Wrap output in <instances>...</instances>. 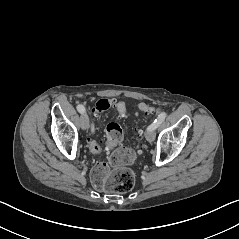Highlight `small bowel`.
Returning <instances> with one entry per match:
<instances>
[{
	"label": "small bowel",
	"instance_id": "obj_1",
	"mask_svg": "<svg viewBox=\"0 0 239 239\" xmlns=\"http://www.w3.org/2000/svg\"><path fill=\"white\" fill-rule=\"evenodd\" d=\"M114 102V109L121 115L126 114V105L122 101L112 99Z\"/></svg>",
	"mask_w": 239,
	"mask_h": 239
}]
</instances>
